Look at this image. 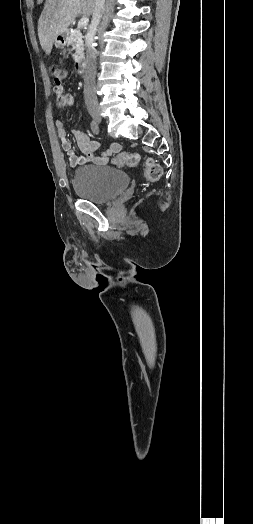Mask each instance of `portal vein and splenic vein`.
I'll list each match as a JSON object with an SVG mask.
<instances>
[{
    "instance_id": "18ae733b",
    "label": "portal vein and splenic vein",
    "mask_w": 253,
    "mask_h": 524,
    "mask_svg": "<svg viewBox=\"0 0 253 524\" xmlns=\"http://www.w3.org/2000/svg\"><path fill=\"white\" fill-rule=\"evenodd\" d=\"M89 19L88 17H82L78 22V27H84L88 24Z\"/></svg>"
}]
</instances>
